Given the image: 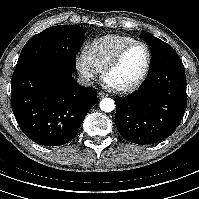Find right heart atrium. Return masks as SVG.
I'll return each instance as SVG.
<instances>
[{"mask_svg":"<svg viewBox=\"0 0 199 199\" xmlns=\"http://www.w3.org/2000/svg\"><path fill=\"white\" fill-rule=\"evenodd\" d=\"M75 65L78 72L88 83H92L101 76V70L96 67L86 50H82L76 55Z\"/></svg>","mask_w":199,"mask_h":199,"instance_id":"obj_1","label":"right heart atrium"}]
</instances>
